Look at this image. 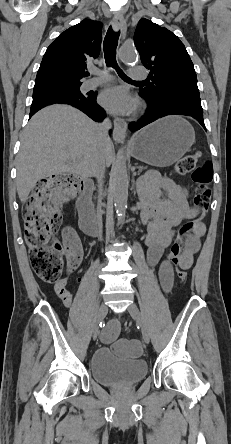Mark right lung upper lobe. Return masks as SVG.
Instances as JSON below:
<instances>
[{
  "instance_id": "obj_1",
  "label": "right lung upper lobe",
  "mask_w": 231,
  "mask_h": 444,
  "mask_svg": "<svg viewBox=\"0 0 231 444\" xmlns=\"http://www.w3.org/2000/svg\"><path fill=\"white\" fill-rule=\"evenodd\" d=\"M101 27L100 22L84 19L62 32L43 56L34 90L56 84H81L87 64L99 55Z\"/></svg>"
}]
</instances>
